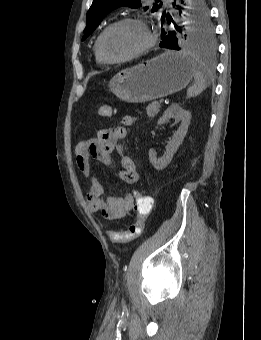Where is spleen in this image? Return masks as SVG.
<instances>
[{
    "instance_id": "spleen-1",
    "label": "spleen",
    "mask_w": 261,
    "mask_h": 340,
    "mask_svg": "<svg viewBox=\"0 0 261 340\" xmlns=\"http://www.w3.org/2000/svg\"><path fill=\"white\" fill-rule=\"evenodd\" d=\"M194 79L195 84L187 90L188 97L199 95L210 84V72L199 62H194Z\"/></svg>"
}]
</instances>
